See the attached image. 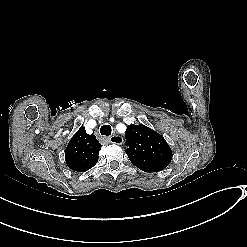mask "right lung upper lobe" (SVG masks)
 Segmentation results:
<instances>
[{
  "label": "right lung upper lobe",
  "mask_w": 247,
  "mask_h": 247,
  "mask_svg": "<svg viewBox=\"0 0 247 247\" xmlns=\"http://www.w3.org/2000/svg\"><path fill=\"white\" fill-rule=\"evenodd\" d=\"M101 144L94 135H88L81 127L69 141L65 150V160L69 168L84 172L98 161Z\"/></svg>",
  "instance_id": "right-lung-upper-lobe-1"
}]
</instances>
